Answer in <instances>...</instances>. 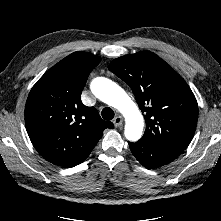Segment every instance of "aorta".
<instances>
[{
	"instance_id": "1",
	"label": "aorta",
	"mask_w": 221,
	"mask_h": 221,
	"mask_svg": "<svg viewBox=\"0 0 221 221\" xmlns=\"http://www.w3.org/2000/svg\"><path fill=\"white\" fill-rule=\"evenodd\" d=\"M92 93L101 101L117 109L125 118L124 135L129 141L141 138L144 119L136 103L116 83L97 77L90 84Z\"/></svg>"
}]
</instances>
